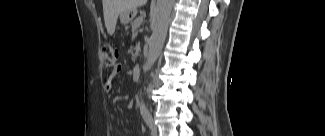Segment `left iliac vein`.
<instances>
[{
    "label": "left iliac vein",
    "mask_w": 325,
    "mask_h": 136,
    "mask_svg": "<svg viewBox=\"0 0 325 136\" xmlns=\"http://www.w3.org/2000/svg\"><path fill=\"white\" fill-rule=\"evenodd\" d=\"M151 134H152V136L158 135V128L154 123H153V126L151 127Z\"/></svg>",
    "instance_id": "obj_1"
}]
</instances>
